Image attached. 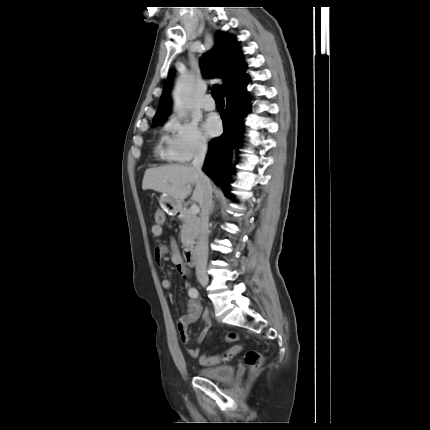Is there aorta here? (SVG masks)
I'll return each instance as SVG.
<instances>
[{
    "instance_id": "1",
    "label": "aorta",
    "mask_w": 430,
    "mask_h": 430,
    "mask_svg": "<svg viewBox=\"0 0 430 430\" xmlns=\"http://www.w3.org/2000/svg\"><path fill=\"white\" fill-rule=\"evenodd\" d=\"M174 109L185 112L191 103V83L186 79L179 80L173 91Z\"/></svg>"
}]
</instances>
